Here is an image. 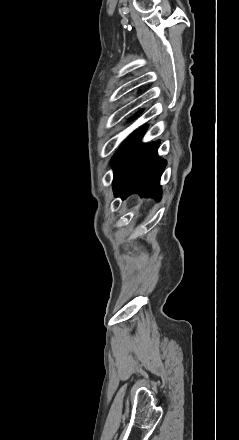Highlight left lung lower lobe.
<instances>
[{"mask_svg":"<svg viewBox=\"0 0 239 440\" xmlns=\"http://www.w3.org/2000/svg\"><path fill=\"white\" fill-rule=\"evenodd\" d=\"M146 129L144 126L130 135L112 158L113 191L122 199L133 193L161 197L160 178L167 162L157 155L159 141L147 145L140 143Z\"/></svg>","mask_w":239,"mask_h":440,"instance_id":"1","label":"left lung lower lobe"}]
</instances>
